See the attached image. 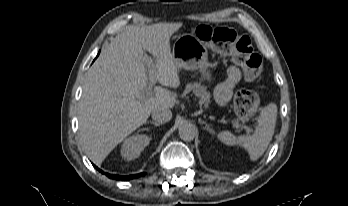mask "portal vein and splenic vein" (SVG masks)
Segmentation results:
<instances>
[{
    "instance_id": "obj_1",
    "label": "portal vein and splenic vein",
    "mask_w": 348,
    "mask_h": 206,
    "mask_svg": "<svg viewBox=\"0 0 348 206\" xmlns=\"http://www.w3.org/2000/svg\"><path fill=\"white\" fill-rule=\"evenodd\" d=\"M156 78L155 77H153V76H150L149 77V85H148V88H147V90H146V92H145V94L146 95H151L152 94V87H153V85L156 83ZM233 123V125H235L236 127H239L240 125L238 124V123H234V122H232Z\"/></svg>"
}]
</instances>
